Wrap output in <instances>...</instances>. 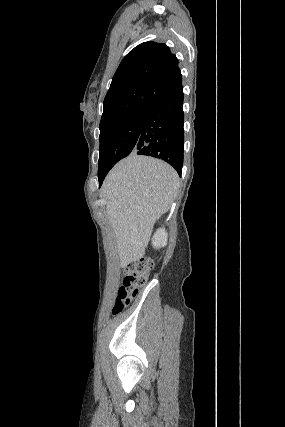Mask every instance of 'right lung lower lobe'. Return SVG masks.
Returning <instances> with one entry per match:
<instances>
[{
  "mask_svg": "<svg viewBox=\"0 0 285 427\" xmlns=\"http://www.w3.org/2000/svg\"><path fill=\"white\" fill-rule=\"evenodd\" d=\"M183 87L152 103L146 109L134 152L169 163L181 175L184 152ZM98 173L101 186L106 174Z\"/></svg>",
  "mask_w": 285,
  "mask_h": 427,
  "instance_id": "obj_1",
  "label": "right lung lower lobe"
}]
</instances>
